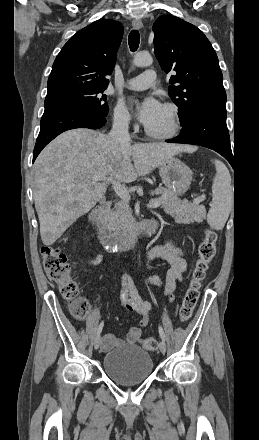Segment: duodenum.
Segmentation results:
<instances>
[{
	"label": "duodenum",
	"mask_w": 259,
	"mask_h": 440,
	"mask_svg": "<svg viewBox=\"0 0 259 440\" xmlns=\"http://www.w3.org/2000/svg\"><path fill=\"white\" fill-rule=\"evenodd\" d=\"M110 205L109 201H104L88 217L89 227L104 246L108 248L133 246L156 232L158 223L155 219L146 220L125 232H110L105 225V217Z\"/></svg>",
	"instance_id": "410a0bca"
}]
</instances>
